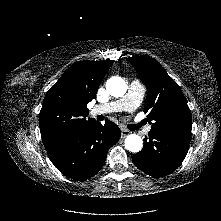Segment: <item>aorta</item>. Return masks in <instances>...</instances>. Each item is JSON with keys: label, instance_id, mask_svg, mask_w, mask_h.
Wrapping results in <instances>:
<instances>
[{"label": "aorta", "instance_id": "762f6f07", "mask_svg": "<svg viewBox=\"0 0 221 221\" xmlns=\"http://www.w3.org/2000/svg\"><path fill=\"white\" fill-rule=\"evenodd\" d=\"M106 89L113 97H122L127 91V84L119 77L114 76L107 80ZM125 147L131 152H139L143 147V141L137 134H130L125 139Z\"/></svg>", "mask_w": 221, "mask_h": 221}]
</instances>
